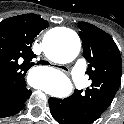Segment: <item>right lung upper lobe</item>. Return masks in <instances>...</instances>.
Instances as JSON below:
<instances>
[{
	"mask_svg": "<svg viewBox=\"0 0 124 124\" xmlns=\"http://www.w3.org/2000/svg\"><path fill=\"white\" fill-rule=\"evenodd\" d=\"M48 22L36 14H23L0 22V98L25 91V75L36 57L31 46Z\"/></svg>",
	"mask_w": 124,
	"mask_h": 124,
	"instance_id": "1",
	"label": "right lung upper lobe"
}]
</instances>
